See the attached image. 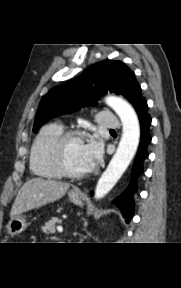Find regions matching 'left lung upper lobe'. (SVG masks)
I'll list each match as a JSON object with an SVG mask.
<instances>
[{
	"label": "left lung upper lobe",
	"mask_w": 181,
	"mask_h": 288,
	"mask_svg": "<svg viewBox=\"0 0 181 288\" xmlns=\"http://www.w3.org/2000/svg\"><path fill=\"white\" fill-rule=\"evenodd\" d=\"M140 89L134 72L121 61L99 62L42 98L33 131L56 116L96 104L98 98L108 91L123 95L131 102Z\"/></svg>",
	"instance_id": "1"
}]
</instances>
